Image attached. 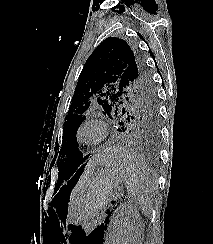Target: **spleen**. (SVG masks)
<instances>
[{
  "label": "spleen",
  "mask_w": 213,
  "mask_h": 244,
  "mask_svg": "<svg viewBox=\"0 0 213 244\" xmlns=\"http://www.w3.org/2000/svg\"><path fill=\"white\" fill-rule=\"evenodd\" d=\"M112 167L122 178L126 179V188L131 197L142 209L144 215L152 210L151 179L143 158L123 149L111 150Z\"/></svg>",
  "instance_id": "obj_1"
}]
</instances>
